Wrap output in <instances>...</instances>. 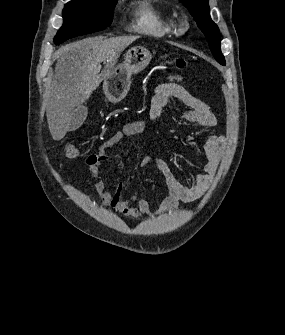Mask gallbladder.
Masks as SVG:
<instances>
[{
    "label": "gallbladder",
    "instance_id": "1",
    "mask_svg": "<svg viewBox=\"0 0 285 335\" xmlns=\"http://www.w3.org/2000/svg\"><path fill=\"white\" fill-rule=\"evenodd\" d=\"M87 114L88 108H85V106H79V108L75 110L73 118L68 126L69 132H74V130H78V128L82 126L84 120H86Z\"/></svg>",
    "mask_w": 285,
    "mask_h": 335
}]
</instances>
